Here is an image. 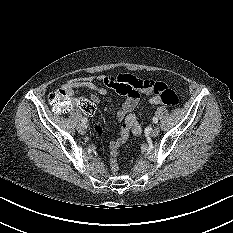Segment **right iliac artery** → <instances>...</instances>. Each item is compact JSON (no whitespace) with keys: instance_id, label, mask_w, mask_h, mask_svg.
<instances>
[{"instance_id":"right-iliac-artery-1","label":"right iliac artery","mask_w":233,"mask_h":233,"mask_svg":"<svg viewBox=\"0 0 233 233\" xmlns=\"http://www.w3.org/2000/svg\"><path fill=\"white\" fill-rule=\"evenodd\" d=\"M81 121H82V123H87L88 120H87V118L84 117V118H82Z\"/></svg>"}]
</instances>
